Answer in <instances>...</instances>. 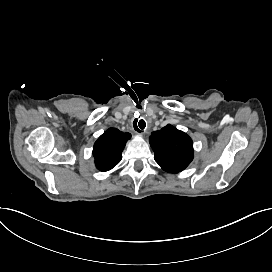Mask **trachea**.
Wrapping results in <instances>:
<instances>
[{"instance_id":"1","label":"trachea","mask_w":272,"mask_h":272,"mask_svg":"<svg viewBox=\"0 0 272 272\" xmlns=\"http://www.w3.org/2000/svg\"><path fill=\"white\" fill-rule=\"evenodd\" d=\"M144 127H145V124L142 127H140V129L137 128V131L140 132V130L144 129Z\"/></svg>"}]
</instances>
